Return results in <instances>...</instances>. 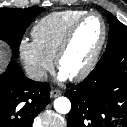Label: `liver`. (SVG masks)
<instances>
[{"instance_id": "liver-1", "label": "liver", "mask_w": 127, "mask_h": 127, "mask_svg": "<svg viewBox=\"0 0 127 127\" xmlns=\"http://www.w3.org/2000/svg\"><path fill=\"white\" fill-rule=\"evenodd\" d=\"M9 58L8 51L3 47L2 44H0V73L4 71V69L7 66Z\"/></svg>"}]
</instances>
